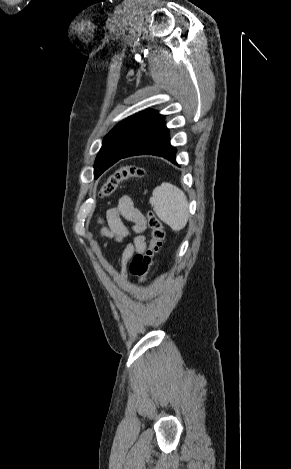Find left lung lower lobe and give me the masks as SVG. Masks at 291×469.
<instances>
[{"mask_svg": "<svg viewBox=\"0 0 291 469\" xmlns=\"http://www.w3.org/2000/svg\"><path fill=\"white\" fill-rule=\"evenodd\" d=\"M136 155L161 156L176 163V149L170 144L169 130L165 124L145 136L115 161Z\"/></svg>", "mask_w": 291, "mask_h": 469, "instance_id": "obj_1", "label": "left lung lower lobe"}]
</instances>
